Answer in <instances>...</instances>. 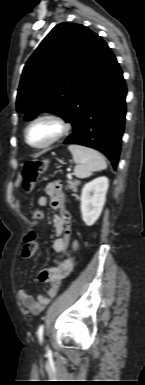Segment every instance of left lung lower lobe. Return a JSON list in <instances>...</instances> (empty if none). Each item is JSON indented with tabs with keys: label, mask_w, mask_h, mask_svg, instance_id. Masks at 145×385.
<instances>
[{
	"label": "left lung lower lobe",
	"mask_w": 145,
	"mask_h": 385,
	"mask_svg": "<svg viewBox=\"0 0 145 385\" xmlns=\"http://www.w3.org/2000/svg\"><path fill=\"white\" fill-rule=\"evenodd\" d=\"M126 94L122 70L111 49L98 36L68 121L73 126V133L64 143L99 150L115 169L124 131Z\"/></svg>",
	"instance_id": "obj_1"
}]
</instances>
